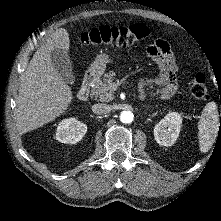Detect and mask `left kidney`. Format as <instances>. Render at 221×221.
<instances>
[{
	"mask_svg": "<svg viewBox=\"0 0 221 221\" xmlns=\"http://www.w3.org/2000/svg\"><path fill=\"white\" fill-rule=\"evenodd\" d=\"M182 124V116L178 112L168 113L155 125L154 137L158 144L172 146L179 136Z\"/></svg>",
	"mask_w": 221,
	"mask_h": 221,
	"instance_id": "obj_1",
	"label": "left kidney"
}]
</instances>
